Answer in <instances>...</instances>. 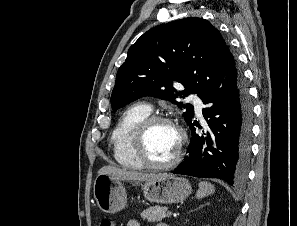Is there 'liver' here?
Here are the masks:
<instances>
[{"instance_id": "obj_1", "label": "liver", "mask_w": 297, "mask_h": 226, "mask_svg": "<svg viewBox=\"0 0 297 226\" xmlns=\"http://www.w3.org/2000/svg\"><path fill=\"white\" fill-rule=\"evenodd\" d=\"M101 174L111 175L112 177L118 180H127V181H134V182L151 181L166 175V174H146V173H140V172L127 171V170L120 169L110 165L102 167L98 171V175H101Z\"/></svg>"}]
</instances>
